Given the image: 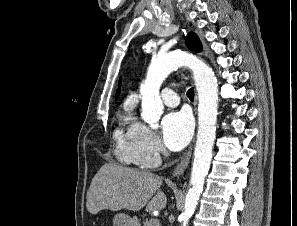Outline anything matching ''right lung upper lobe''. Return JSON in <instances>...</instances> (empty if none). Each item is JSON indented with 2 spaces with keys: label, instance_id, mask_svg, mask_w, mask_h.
I'll use <instances>...</instances> for the list:
<instances>
[{
  "label": "right lung upper lobe",
  "instance_id": "1",
  "mask_svg": "<svg viewBox=\"0 0 297 226\" xmlns=\"http://www.w3.org/2000/svg\"><path fill=\"white\" fill-rule=\"evenodd\" d=\"M120 82H119V87H120ZM118 95H119V88H118L117 93H116V98H118Z\"/></svg>",
  "mask_w": 297,
  "mask_h": 226
}]
</instances>
